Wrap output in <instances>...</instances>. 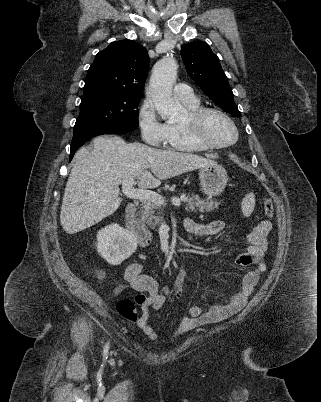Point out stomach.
I'll return each mask as SVG.
<instances>
[{
	"label": "stomach",
	"instance_id": "stomach-1",
	"mask_svg": "<svg viewBox=\"0 0 321 402\" xmlns=\"http://www.w3.org/2000/svg\"><path fill=\"white\" fill-rule=\"evenodd\" d=\"M202 191L209 196L221 194L227 184L226 170L220 165H209L199 170Z\"/></svg>",
	"mask_w": 321,
	"mask_h": 402
}]
</instances>
